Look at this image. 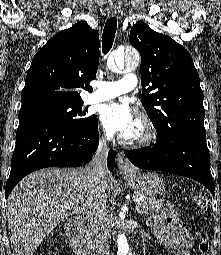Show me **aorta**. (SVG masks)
Listing matches in <instances>:
<instances>
[{"instance_id":"aorta-1","label":"aorta","mask_w":221,"mask_h":255,"mask_svg":"<svg viewBox=\"0 0 221 255\" xmlns=\"http://www.w3.org/2000/svg\"><path fill=\"white\" fill-rule=\"evenodd\" d=\"M114 60L116 66L119 69L127 68L129 70L135 69L139 64V57L135 53H127L117 51L114 53ZM118 255H132V252L129 250L127 240L124 234L119 235V250Z\"/></svg>"}]
</instances>
